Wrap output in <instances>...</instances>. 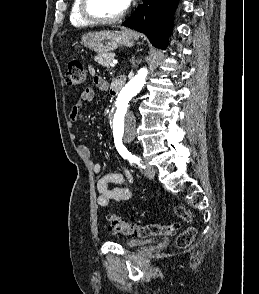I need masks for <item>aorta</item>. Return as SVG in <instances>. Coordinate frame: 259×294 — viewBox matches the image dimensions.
Instances as JSON below:
<instances>
[{"instance_id":"aorta-1","label":"aorta","mask_w":259,"mask_h":294,"mask_svg":"<svg viewBox=\"0 0 259 294\" xmlns=\"http://www.w3.org/2000/svg\"><path fill=\"white\" fill-rule=\"evenodd\" d=\"M147 69L141 68L119 92L110 112V133L114 141L129 142L135 138L136 119L129 111V101L136 96L144 86Z\"/></svg>"}]
</instances>
